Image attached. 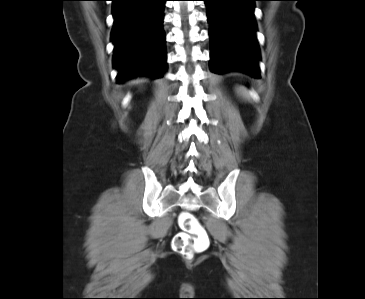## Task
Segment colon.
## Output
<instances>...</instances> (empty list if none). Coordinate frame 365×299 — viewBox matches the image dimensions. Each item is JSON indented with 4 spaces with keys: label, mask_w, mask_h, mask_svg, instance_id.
<instances>
[{
    "label": "colon",
    "mask_w": 365,
    "mask_h": 299,
    "mask_svg": "<svg viewBox=\"0 0 365 299\" xmlns=\"http://www.w3.org/2000/svg\"><path fill=\"white\" fill-rule=\"evenodd\" d=\"M181 232L172 241L173 249L179 254L191 257L194 253L205 250L210 238L200 221L188 212H183L178 218Z\"/></svg>",
    "instance_id": "5ec220e1"
}]
</instances>
